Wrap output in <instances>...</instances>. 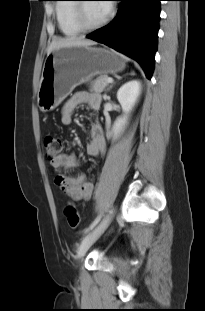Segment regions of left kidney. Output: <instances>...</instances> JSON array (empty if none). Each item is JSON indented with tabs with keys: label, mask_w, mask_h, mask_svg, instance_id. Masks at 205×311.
<instances>
[{
	"label": "left kidney",
	"mask_w": 205,
	"mask_h": 311,
	"mask_svg": "<svg viewBox=\"0 0 205 311\" xmlns=\"http://www.w3.org/2000/svg\"><path fill=\"white\" fill-rule=\"evenodd\" d=\"M140 94L141 82L138 80L129 81L120 87L117 92V99L124 114L116 119L110 135L117 136L123 130L127 122V115L132 111Z\"/></svg>",
	"instance_id": "obj_1"
}]
</instances>
